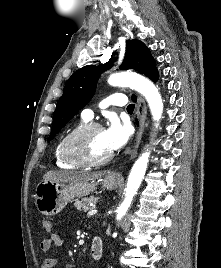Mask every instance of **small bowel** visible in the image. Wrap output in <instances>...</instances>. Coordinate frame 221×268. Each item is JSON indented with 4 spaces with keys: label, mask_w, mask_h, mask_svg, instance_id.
Instances as JSON below:
<instances>
[{
    "label": "small bowel",
    "mask_w": 221,
    "mask_h": 268,
    "mask_svg": "<svg viewBox=\"0 0 221 268\" xmlns=\"http://www.w3.org/2000/svg\"><path fill=\"white\" fill-rule=\"evenodd\" d=\"M48 235L40 242V248L42 252L49 253L55 248H60L63 245L62 237L56 233L54 230L47 232ZM58 261L55 258H45L40 267L41 268H57Z\"/></svg>",
    "instance_id": "c3829d8e"
}]
</instances>
